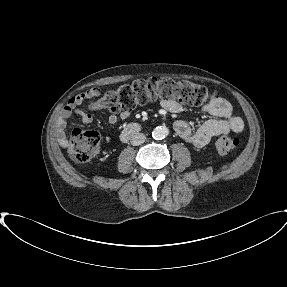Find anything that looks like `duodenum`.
Returning a JSON list of instances; mask_svg holds the SVG:
<instances>
[{"instance_id":"duodenum-1","label":"duodenum","mask_w":287,"mask_h":287,"mask_svg":"<svg viewBox=\"0 0 287 287\" xmlns=\"http://www.w3.org/2000/svg\"><path fill=\"white\" fill-rule=\"evenodd\" d=\"M140 130V126L136 122L129 123L121 133V140L126 141Z\"/></svg>"}]
</instances>
